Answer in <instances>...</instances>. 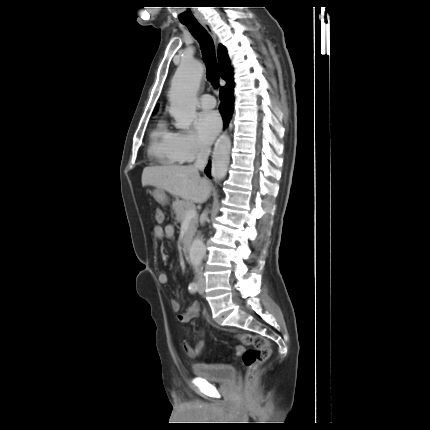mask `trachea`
Instances as JSON below:
<instances>
[{
    "instance_id": "3493384b",
    "label": "trachea",
    "mask_w": 430,
    "mask_h": 430,
    "mask_svg": "<svg viewBox=\"0 0 430 430\" xmlns=\"http://www.w3.org/2000/svg\"><path fill=\"white\" fill-rule=\"evenodd\" d=\"M193 37L199 42L203 61L207 68V80L214 87L219 86L220 72L216 61L214 42L210 34L199 23H184Z\"/></svg>"
}]
</instances>
